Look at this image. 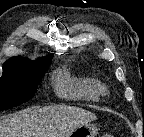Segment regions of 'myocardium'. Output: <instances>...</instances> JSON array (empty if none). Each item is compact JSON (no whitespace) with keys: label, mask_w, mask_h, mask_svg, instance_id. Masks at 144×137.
<instances>
[{"label":"myocardium","mask_w":144,"mask_h":137,"mask_svg":"<svg viewBox=\"0 0 144 137\" xmlns=\"http://www.w3.org/2000/svg\"><path fill=\"white\" fill-rule=\"evenodd\" d=\"M100 92L101 93H104L105 92V89L102 87V88H100Z\"/></svg>","instance_id":"1"}]
</instances>
